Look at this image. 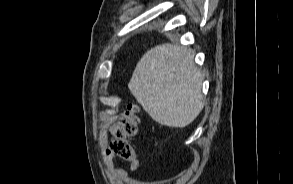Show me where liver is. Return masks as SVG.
Listing matches in <instances>:
<instances>
[{
  "label": "liver",
  "mask_w": 293,
  "mask_h": 184,
  "mask_svg": "<svg viewBox=\"0 0 293 184\" xmlns=\"http://www.w3.org/2000/svg\"><path fill=\"white\" fill-rule=\"evenodd\" d=\"M186 47L165 43L148 50L128 85L149 116L161 125L183 128L203 109V76Z\"/></svg>",
  "instance_id": "1"
}]
</instances>
